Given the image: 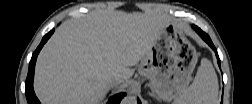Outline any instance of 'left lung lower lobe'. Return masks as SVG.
Returning a JSON list of instances; mask_svg holds the SVG:
<instances>
[{
    "mask_svg": "<svg viewBox=\"0 0 252 104\" xmlns=\"http://www.w3.org/2000/svg\"><path fill=\"white\" fill-rule=\"evenodd\" d=\"M193 28L195 29V31L201 36V38L206 42L208 43V45L215 51V54H216V57H217V62H218V65L220 66V59H219V56H218V53H217V50L216 48L214 47L210 37L204 33L200 28H198L197 26L193 25ZM137 102L138 103H141L139 99H137Z\"/></svg>",
    "mask_w": 252,
    "mask_h": 104,
    "instance_id": "left-lung-lower-lobe-1",
    "label": "left lung lower lobe"
}]
</instances>
